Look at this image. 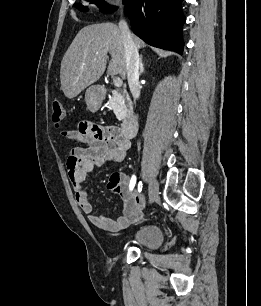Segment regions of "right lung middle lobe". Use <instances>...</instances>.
Listing matches in <instances>:
<instances>
[{"label":"right lung middle lobe","instance_id":"dd1d6c3e","mask_svg":"<svg viewBox=\"0 0 261 306\" xmlns=\"http://www.w3.org/2000/svg\"><path fill=\"white\" fill-rule=\"evenodd\" d=\"M129 1L130 0H123V3L127 4ZM91 2L96 4L100 11L103 13H110L117 9L116 7H112L102 0H91ZM74 7H76L80 11H88V8L86 6H83L81 3L74 4Z\"/></svg>","mask_w":261,"mask_h":306}]
</instances>
